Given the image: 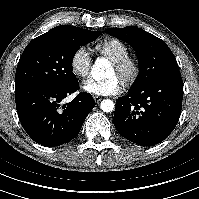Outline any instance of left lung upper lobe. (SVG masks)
Wrapping results in <instances>:
<instances>
[{"instance_id":"obj_1","label":"left lung upper lobe","mask_w":199,"mask_h":199,"mask_svg":"<svg viewBox=\"0 0 199 199\" xmlns=\"http://www.w3.org/2000/svg\"><path fill=\"white\" fill-rule=\"evenodd\" d=\"M106 33L125 41L136 51L139 75L131 87L132 90L141 89L162 76L179 72L175 56L158 37L132 26L108 28Z\"/></svg>"}]
</instances>
